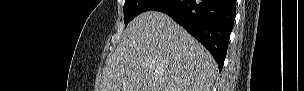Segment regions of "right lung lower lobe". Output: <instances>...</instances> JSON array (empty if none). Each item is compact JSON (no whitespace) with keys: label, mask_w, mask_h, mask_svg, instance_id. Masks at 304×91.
Returning <instances> with one entry per match:
<instances>
[{"label":"right lung lower lobe","mask_w":304,"mask_h":91,"mask_svg":"<svg viewBox=\"0 0 304 91\" xmlns=\"http://www.w3.org/2000/svg\"><path fill=\"white\" fill-rule=\"evenodd\" d=\"M145 11L169 15L208 49L222 70L236 16V0H154Z\"/></svg>","instance_id":"1"}]
</instances>
